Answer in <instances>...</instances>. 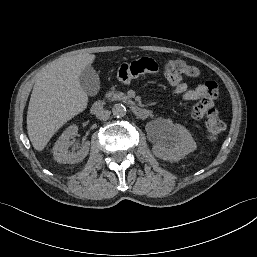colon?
<instances>
[{"label":"colon","mask_w":257,"mask_h":257,"mask_svg":"<svg viewBox=\"0 0 257 257\" xmlns=\"http://www.w3.org/2000/svg\"><path fill=\"white\" fill-rule=\"evenodd\" d=\"M168 64L173 69L180 71L184 77H196L198 76V70L180 59H174L168 61ZM225 124L219 113L215 110H211L207 114L206 118V131L210 139H217L224 131Z\"/></svg>","instance_id":"colon-1"}]
</instances>
